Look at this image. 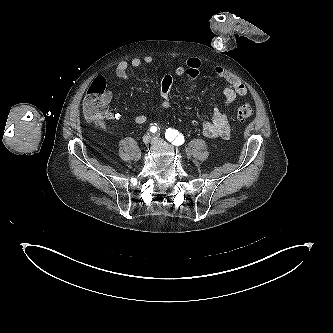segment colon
<instances>
[{
	"label": "colon",
	"mask_w": 333,
	"mask_h": 333,
	"mask_svg": "<svg viewBox=\"0 0 333 333\" xmlns=\"http://www.w3.org/2000/svg\"><path fill=\"white\" fill-rule=\"evenodd\" d=\"M106 81L97 77L90 85L83 102V112L86 119L98 122L107 113ZM253 115L252 108L248 105L240 106L236 111L239 121H245Z\"/></svg>",
	"instance_id": "obj_1"
}]
</instances>
